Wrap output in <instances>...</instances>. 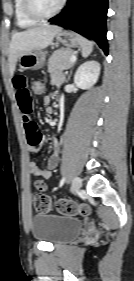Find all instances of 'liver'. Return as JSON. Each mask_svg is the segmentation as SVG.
Returning <instances> with one entry per match:
<instances>
[{"label":"liver","mask_w":134,"mask_h":281,"mask_svg":"<svg viewBox=\"0 0 134 281\" xmlns=\"http://www.w3.org/2000/svg\"><path fill=\"white\" fill-rule=\"evenodd\" d=\"M61 30L55 25H41L12 35L9 46V71L13 75L20 55L47 48Z\"/></svg>","instance_id":"liver-1"}]
</instances>
